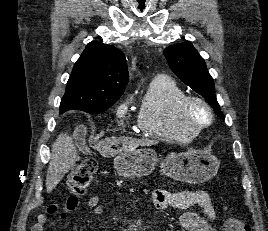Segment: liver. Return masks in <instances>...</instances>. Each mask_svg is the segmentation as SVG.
<instances>
[{
	"instance_id": "6515ba94",
	"label": "liver",
	"mask_w": 268,
	"mask_h": 231,
	"mask_svg": "<svg viewBox=\"0 0 268 231\" xmlns=\"http://www.w3.org/2000/svg\"><path fill=\"white\" fill-rule=\"evenodd\" d=\"M83 137L86 129L82 126ZM75 140V141H74ZM82 138L77 132L73 137L67 134H60L52 145L51 160L46 174V190L48 193L52 192L57 184L62 180L64 175L75 165L76 161L80 160L77 154L76 145L80 143ZM122 144L119 152L135 150L139 146L154 145L155 142L149 139H135L130 137H111L98 142L95 149L103 156H114L118 151L114 150L113 146Z\"/></svg>"
}]
</instances>
